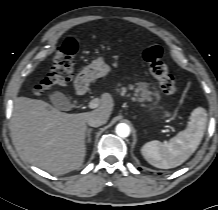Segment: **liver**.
Segmentation results:
<instances>
[{
	"label": "liver",
	"instance_id": "1",
	"mask_svg": "<svg viewBox=\"0 0 218 210\" xmlns=\"http://www.w3.org/2000/svg\"><path fill=\"white\" fill-rule=\"evenodd\" d=\"M113 106L112 97L103 94L95 110L68 114L43 100L18 97L13 106L12 131L32 164L50 173L65 174L84 162L88 118L96 114L107 121Z\"/></svg>",
	"mask_w": 218,
	"mask_h": 210
}]
</instances>
